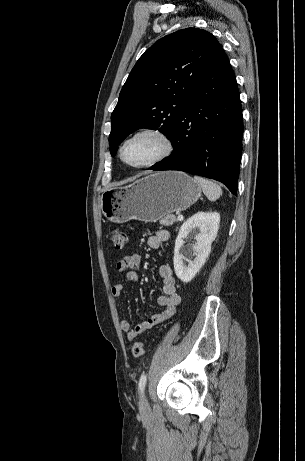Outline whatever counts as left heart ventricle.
Here are the masks:
<instances>
[{
  "instance_id": "b2bd125f",
  "label": "left heart ventricle",
  "mask_w": 305,
  "mask_h": 461,
  "mask_svg": "<svg viewBox=\"0 0 305 461\" xmlns=\"http://www.w3.org/2000/svg\"><path fill=\"white\" fill-rule=\"evenodd\" d=\"M160 150L161 144L156 138L142 136L126 145L124 158L130 164H141L156 156Z\"/></svg>"
}]
</instances>
